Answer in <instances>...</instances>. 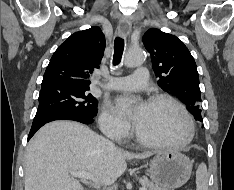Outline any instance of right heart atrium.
I'll return each instance as SVG.
<instances>
[{"label":"right heart atrium","mask_w":234,"mask_h":190,"mask_svg":"<svg viewBox=\"0 0 234 190\" xmlns=\"http://www.w3.org/2000/svg\"><path fill=\"white\" fill-rule=\"evenodd\" d=\"M101 131L115 140H122L128 136L131 130L130 124L114 113L109 106H105L100 118Z\"/></svg>","instance_id":"obj_1"}]
</instances>
